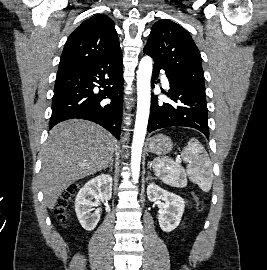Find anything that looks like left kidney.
I'll list each match as a JSON object with an SVG mask.
<instances>
[{"label": "left kidney", "mask_w": 267, "mask_h": 270, "mask_svg": "<svg viewBox=\"0 0 267 270\" xmlns=\"http://www.w3.org/2000/svg\"><path fill=\"white\" fill-rule=\"evenodd\" d=\"M147 196L149 201H164V209L158 216L161 229L164 232H171L179 225L183 216L185 201L182 197L171 193L155 183L147 186Z\"/></svg>", "instance_id": "obj_1"}]
</instances>
